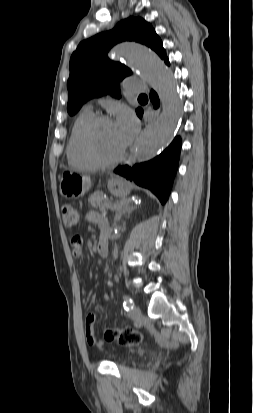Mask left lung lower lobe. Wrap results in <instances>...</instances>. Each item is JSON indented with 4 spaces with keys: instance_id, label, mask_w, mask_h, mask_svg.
I'll use <instances>...</instances> for the list:
<instances>
[{
    "instance_id": "left-lung-lower-lobe-1",
    "label": "left lung lower lobe",
    "mask_w": 253,
    "mask_h": 413,
    "mask_svg": "<svg viewBox=\"0 0 253 413\" xmlns=\"http://www.w3.org/2000/svg\"><path fill=\"white\" fill-rule=\"evenodd\" d=\"M165 63L169 65L168 58L165 59ZM150 100L153 102L155 108L159 106V98L154 91L150 93ZM137 114L141 117L143 110L140 109ZM180 148L181 139L180 137H176L174 141L154 159L145 163L136 164L132 168L128 166L119 167L115 172L142 187L150 189L159 198L161 203L164 204L169 197L178 167Z\"/></svg>"
}]
</instances>
